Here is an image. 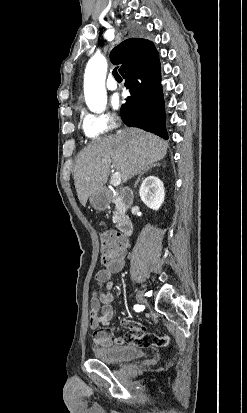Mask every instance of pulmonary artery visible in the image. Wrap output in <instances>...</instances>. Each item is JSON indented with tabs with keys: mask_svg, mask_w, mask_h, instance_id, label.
<instances>
[{
	"mask_svg": "<svg viewBox=\"0 0 247 413\" xmlns=\"http://www.w3.org/2000/svg\"><path fill=\"white\" fill-rule=\"evenodd\" d=\"M106 87L110 91H115L118 89V82L112 75L107 78Z\"/></svg>",
	"mask_w": 247,
	"mask_h": 413,
	"instance_id": "e3ab8cb5",
	"label": "pulmonary artery"
}]
</instances>
